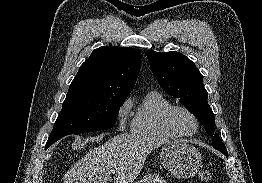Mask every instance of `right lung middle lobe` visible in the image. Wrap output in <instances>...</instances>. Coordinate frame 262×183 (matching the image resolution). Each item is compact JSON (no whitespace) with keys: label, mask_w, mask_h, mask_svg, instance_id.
Masks as SVG:
<instances>
[{"label":"right lung middle lobe","mask_w":262,"mask_h":183,"mask_svg":"<svg viewBox=\"0 0 262 183\" xmlns=\"http://www.w3.org/2000/svg\"><path fill=\"white\" fill-rule=\"evenodd\" d=\"M126 98L68 94L46 145L69 134L110 129Z\"/></svg>","instance_id":"right-lung-middle-lobe-1"}]
</instances>
